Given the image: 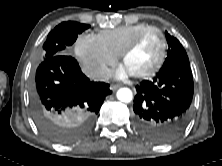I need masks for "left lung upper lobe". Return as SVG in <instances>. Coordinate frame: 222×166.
I'll list each match as a JSON object with an SVG mask.
<instances>
[{
    "mask_svg": "<svg viewBox=\"0 0 222 166\" xmlns=\"http://www.w3.org/2000/svg\"><path fill=\"white\" fill-rule=\"evenodd\" d=\"M165 34L169 49H168V56L161 69L177 65L190 66L187 53L183 48V46L178 41V39L168 34V32H166Z\"/></svg>",
    "mask_w": 222,
    "mask_h": 166,
    "instance_id": "left-lung-upper-lobe-1",
    "label": "left lung upper lobe"
}]
</instances>
